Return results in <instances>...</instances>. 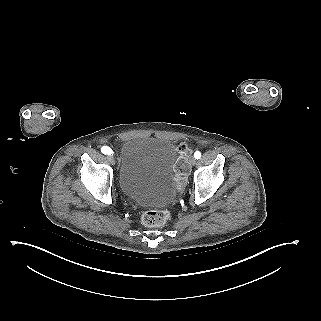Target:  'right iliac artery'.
I'll list each match as a JSON object with an SVG mask.
<instances>
[{"mask_svg":"<svg viewBox=\"0 0 321 321\" xmlns=\"http://www.w3.org/2000/svg\"><path fill=\"white\" fill-rule=\"evenodd\" d=\"M101 152L106 154V155H113V151L111 150V148L107 147V146H103L101 148Z\"/></svg>","mask_w":321,"mask_h":321,"instance_id":"right-iliac-artery-1","label":"right iliac artery"}]
</instances>
